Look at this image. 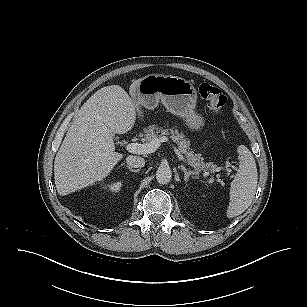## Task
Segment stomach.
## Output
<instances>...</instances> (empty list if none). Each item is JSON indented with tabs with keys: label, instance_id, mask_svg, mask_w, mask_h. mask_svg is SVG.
<instances>
[{
	"label": "stomach",
	"instance_id": "0dacf381",
	"mask_svg": "<svg viewBox=\"0 0 307 307\" xmlns=\"http://www.w3.org/2000/svg\"><path fill=\"white\" fill-rule=\"evenodd\" d=\"M137 103L152 110L161 100L168 112L180 117L192 130H200L204 118L195 111L197 92L193 84L181 77L150 74L140 79Z\"/></svg>",
	"mask_w": 307,
	"mask_h": 307
}]
</instances>
